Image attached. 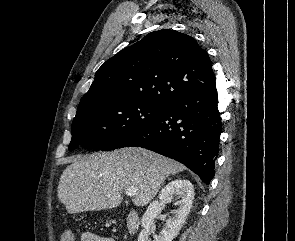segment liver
Returning <instances> with one entry per match:
<instances>
[{
	"label": "liver",
	"mask_w": 295,
	"mask_h": 241,
	"mask_svg": "<svg viewBox=\"0 0 295 241\" xmlns=\"http://www.w3.org/2000/svg\"><path fill=\"white\" fill-rule=\"evenodd\" d=\"M185 169L179 162L142 148L77 156L63 171L58 198L70 214L120 205L123 190L137 188L136 206L147 205L166 177Z\"/></svg>",
	"instance_id": "1"
}]
</instances>
